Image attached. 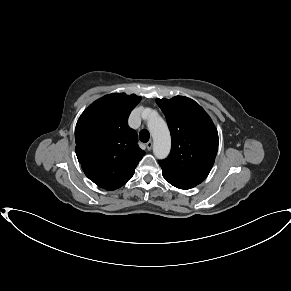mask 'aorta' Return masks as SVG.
Wrapping results in <instances>:
<instances>
[{
  "instance_id": "1",
  "label": "aorta",
  "mask_w": 291,
  "mask_h": 291,
  "mask_svg": "<svg viewBox=\"0 0 291 291\" xmlns=\"http://www.w3.org/2000/svg\"><path fill=\"white\" fill-rule=\"evenodd\" d=\"M143 115H148V128L153 137L155 157L158 159L166 158L171 148V137L167 124L154 110L146 109Z\"/></svg>"
}]
</instances>
